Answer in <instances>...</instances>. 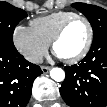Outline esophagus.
Here are the masks:
<instances>
[{"label":"esophagus","instance_id":"obj_1","mask_svg":"<svg viewBox=\"0 0 107 107\" xmlns=\"http://www.w3.org/2000/svg\"><path fill=\"white\" fill-rule=\"evenodd\" d=\"M41 69H42L43 73L46 74V73H48L50 71L51 67H49V66H42Z\"/></svg>","mask_w":107,"mask_h":107}]
</instances>
